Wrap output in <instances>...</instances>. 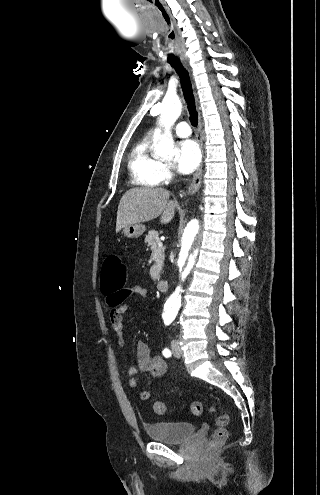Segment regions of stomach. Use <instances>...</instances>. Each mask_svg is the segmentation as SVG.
<instances>
[{"label":"stomach","mask_w":320,"mask_h":495,"mask_svg":"<svg viewBox=\"0 0 320 495\" xmlns=\"http://www.w3.org/2000/svg\"><path fill=\"white\" fill-rule=\"evenodd\" d=\"M145 229V226L140 223L129 224L123 228V234L128 238L139 237Z\"/></svg>","instance_id":"1"}]
</instances>
